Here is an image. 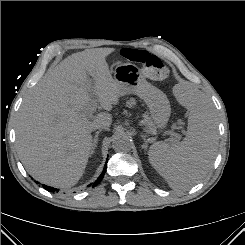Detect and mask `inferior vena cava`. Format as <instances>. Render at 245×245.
I'll return each mask as SVG.
<instances>
[{"label":"inferior vena cava","instance_id":"1","mask_svg":"<svg viewBox=\"0 0 245 245\" xmlns=\"http://www.w3.org/2000/svg\"><path fill=\"white\" fill-rule=\"evenodd\" d=\"M93 129L96 130V129H105V130H108L109 127H107L106 125H103V124H95L93 126Z\"/></svg>","mask_w":245,"mask_h":245}]
</instances>
